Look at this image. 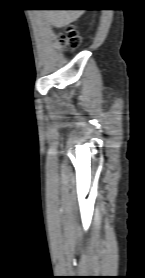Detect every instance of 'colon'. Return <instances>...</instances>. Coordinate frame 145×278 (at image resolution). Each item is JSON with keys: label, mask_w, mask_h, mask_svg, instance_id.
I'll return each mask as SVG.
<instances>
[{"label": "colon", "mask_w": 145, "mask_h": 278, "mask_svg": "<svg viewBox=\"0 0 145 278\" xmlns=\"http://www.w3.org/2000/svg\"><path fill=\"white\" fill-rule=\"evenodd\" d=\"M63 44L75 48L79 43V36L75 29L67 28L61 36Z\"/></svg>", "instance_id": "colon-1"}]
</instances>
